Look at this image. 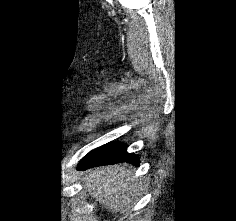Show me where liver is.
<instances>
[{
	"label": "liver",
	"instance_id": "liver-1",
	"mask_svg": "<svg viewBox=\"0 0 236 221\" xmlns=\"http://www.w3.org/2000/svg\"><path fill=\"white\" fill-rule=\"evenodd\" d=\"M82 181L89 195L112 212H125L137 201L139 185L121 164L84 172Z\"/></svg>",
	"mask_w": 236,
	"mask_h": 221
}]
</instances>
